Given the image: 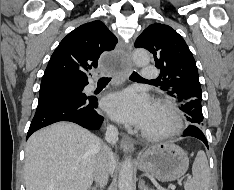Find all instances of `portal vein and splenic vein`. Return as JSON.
I'll return each instance as SVG.
<instances>
[{
	"instance_id": "1",
	"label": "portal vein and splenic vein",
	"mask_w": 234,
	"mask_h": 190,
	"mask_svg": "<svg viewBox=\"0 0 234 190\" xmlns=\"http://www.w3.org/2000/svg\"><path fill=\"white\" fill-rule=\"evenodd\" d=\"M170 188H171V189H174V188H175V186H174V185H172V186H170Z\"/></svg>"
}]
</instances>
